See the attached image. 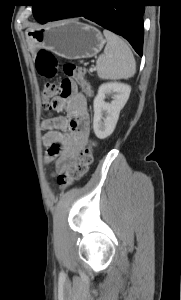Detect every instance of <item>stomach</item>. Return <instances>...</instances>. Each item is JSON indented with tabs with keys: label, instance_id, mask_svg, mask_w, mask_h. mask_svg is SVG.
Returning a JSON list of instances; mask_svg holds the SVG:
<instances>
[{
	"label": "stomach",
	"instance_id": "0dacf381",
	"mask_svg": "<svg viewBox=\"0 0 181 300\" xmlns=\"http://www.w3.org/2000/svg\"><path fill=\"white\" fill-rule=\"evenodd\" d=\"M26 38L31 51L47 49L66 59L93 57L105 43L102 33L96 27L76 20L29 28Z\"/></svg>",
	"mask_w": 181,
	"mask_h": 300
}]
</instances>
